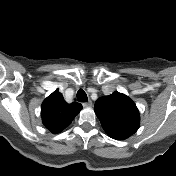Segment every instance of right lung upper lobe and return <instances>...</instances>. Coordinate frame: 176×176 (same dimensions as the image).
Segmentation results:
<instances>
[{
  "label": "right lung upper lobe",
  "instance_id": "1",
  "mask_svg": "<svg viewBox=\"0 0 176 176\" xmlns=\"http://www.w3.org/2000/svg\"><path fill=\"white\" fill-rule=\"evenodd\" d=\"M81 109L80 103H66L59 89H56L42 103L43 124L52 133H60L72 122Z\"/></svg>",
  "mask_w": 176,
  "mask_h": 176
}]
</instances>
